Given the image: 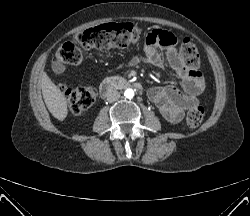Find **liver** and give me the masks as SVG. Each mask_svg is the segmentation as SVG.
Returning <instances> with one entry per match:
<instances>
[{
	"mask_svg": "<svg viewBox=\"0 0 250 216\" xmlns=\"http://www.w3.org/2000/svg\"><path fill=\"white\" fill-rule=\"evenodd\" d=\"M42 94L49 112L58 120L63 121L68 114L67 100L45 72L40 78Z\"/></svg>",
	"mask_w": 250,
	"mask_h": 216,
	"instance_id": "6515ba94",
	"label": "liver"
}]
</instances>
